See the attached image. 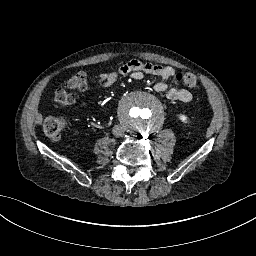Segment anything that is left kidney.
Returning a JSON list of instances; mask_svg holds the SVG:
<instances>
[{"label":"left kidney","mask_w":256,"mask_h":256,"mask_svg":"<svg viewBox=\"0 0 256 256\" xmlns=\"http://www.w3.org/2000/svg\"><path fill=\"white\" fill-rule=\"evenodd\" d=\"M179 118L181 121L187 122V117L185 115H181Z\"/></svg>","instance_id":"5707ae66"}]
</instances>
